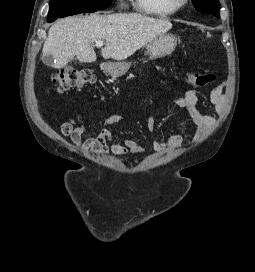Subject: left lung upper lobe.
Wrapping results in <instances>:
<instances>
[{
  "label": "left lung upper lobe",
  "mask_w": 255,
  "mask_h": 272,
  "mask_svg": "<svg viewBox=\"0 0 255 272\" xmlns=\"http://www.w3.org/2000/svg\"><path fill=\"white\" fill-rule=\"evenodd\" d=\"M192 2L197 11L220 18L219 0H192Z\"/></svg>",
  "instance_id": "5c2ea615"
}]
</instances>
